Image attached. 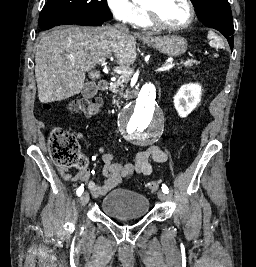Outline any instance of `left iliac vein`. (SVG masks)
<instances>
[{
	"label": "left iliac vein",
	"instance_id": "obj_1",
	"mask_svg": "<svg viewBox=\"0 0 256 267\" xmlns=\"http://www.w3.org/2000/svg\"><path fill=\"white\" fill-rule=\"evenodd\" d=\"M157 196H158V199L161 201H165L167 199V196L163 191H158Z\"/></svg>",
	"mask_w": 256,
	"mask_h": 267
}]
</instances>
